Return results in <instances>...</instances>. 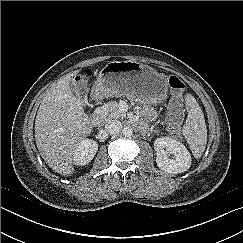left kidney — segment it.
Wrapping results in <instances>:
<instances>
[{
    "mask_svg": "<svg viewBox=\"0 0 243 243\" xmlns=\"http://www.w3.org/2000/svg\"><path fill=\"white\" fill-rule=\"evenodd\" d=\"M156 163L161 170L170 174L187 171L191 166V155L179 141L170 137H160L154 142Z\"/></svg>",
    "mask_w": 243,
    "mask_h": 243,
    "instance_id": "obj_1",
    "label": "left kidney"
}]
</instances>
